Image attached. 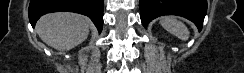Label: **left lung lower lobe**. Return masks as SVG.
<instances>
[{"label":"left lung lower lobe","instance_id":"obj_1","mask_svg":"<svg viewBox=\"0 0 244 73\" xmlns=\"http://www.w3.org/2000/svg\"><path fill=\"white\" fill-rule=\"evenodd\" d=\"M139 4L144 27L158 16L178 15L194 22L201 30L207 11L206 0H139Z\"/></svg>","mask_w":244,"mask_h":73}]
</instances>
